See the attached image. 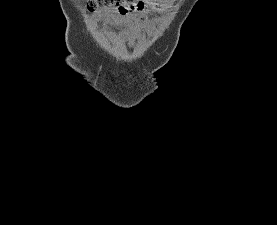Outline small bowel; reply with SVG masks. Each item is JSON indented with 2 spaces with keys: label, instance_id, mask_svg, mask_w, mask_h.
Here are the masks:
<instances>
[{
  "label": "small bowel",
  "instance_id": "1",
  "mask_svg": "<svg viewBox=\"0 0 277 225\" xmlns=\"http://www.w3.org/2000/svg\"><path fill=\"white\" fill-rule=\"evenodd\" d=\"M171 7L168 3L154 4L151 6H146L145 9L139 10L137 14H126V15H116L114 10H106L100 13L101 17L106 19H111L115 23L124 24L128 27L127 34L131 37L136 36L143 30L152 31L156 28L158 23V18H151L148 16L149 13L161 14L165 9Z\"/></svg>",
  "mask_w": 277,
  "mask_h": 225
}]
</instances>
